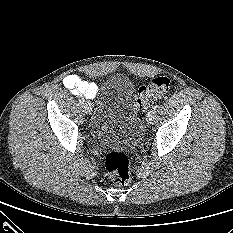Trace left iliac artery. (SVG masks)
<instances>
[{"label":"left iliac artery","mask_w":233,"mask_h":233,"mask_svg":"<svg viewBox=\"0 0 233 233\" xmlns=\"http://www.w3.org/2000/svg\"><path fill=\"white\" fill-rule=\"evenodd\" d=\"M160 109V105L159 104H156L154 107H153V110L155 111H158Z\"/></svg>","instance_id":"44dca946"}]
</instances>
